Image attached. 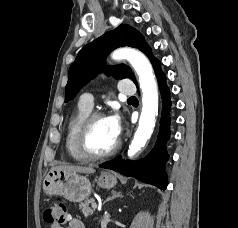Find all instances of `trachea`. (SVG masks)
I'll return each mask as SVG.
<instances>
[{"instance_id":"trachea-1","label":"trachea","mask_w":238,"mask_h":228,"mask_svg":"<svg viewBox=\"0 0 238 228\" xmlns=\"http://www.w3.org/2000/svg\"><path fill=\"white\" fill-rule=\"evenodd\" d=\"M134 99H136V97H135V96H132V97H130L128 100H134Z\"/></svg>"}]
</instances>
